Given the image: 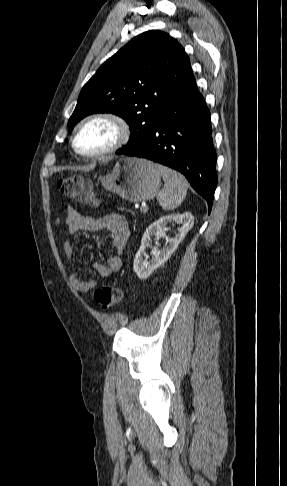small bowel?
Instances as JSON below:
<instances>
[{
    "label": "small bowel",
    "mask_w": 287,
    "mask_h": 486,
    "mask_svg": "<svg viewBox=\"0 0 287 486\" xmlns=\"http://www.w3.org/2000/svg\"><path fill=\"white\" fill-rule=\"evenodd\" d=\"M66 225L68 236L63 241V251L68 263L69 280L72 287L79 292H88L99 284V280H84L75 270L74 261L76 251L72 237L78 232H101L108 234L114 254L107 258L105 264L95 263L94 268L100 277H108L114 272H118L122 267L120 255L123 254L128 238L129 230L127 220L124 216L117 213H110L99 218L84 215L73 207L66 209Z\"/></svg>",
    "instance_id": "c3829d8e"
}]
</instances>
